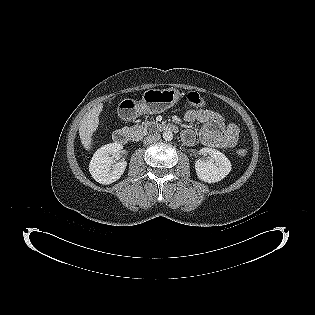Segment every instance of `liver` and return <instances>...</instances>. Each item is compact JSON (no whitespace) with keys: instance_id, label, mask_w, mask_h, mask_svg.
Wrapping results in <instances>:
<instances>
[{"instance_id":"1","label":"liver","mask_w":315,"mask_h":315,"mask_svg":"<svg viewBox=\"0 0 315 315\" xmlns=\"http://www.w3.org/2000/svg\"><path fill=\"white\" fill-rule=\"evenodd\" d=\"M103 109V104L100 103L93 107L89 112L83 117L80 122L79 135L82 145L87 151L91 150L92 145V135L97 130L99 125V115Z\"/></svg>"}]
</instances>
